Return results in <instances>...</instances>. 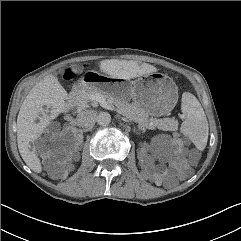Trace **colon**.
Masks as SVG:
<instances>
[{
	"label": "colon",
	"mask_w": 241,
	"mask_h": 241,
	"mask_svg": "<svg viewBox=\"0 0 241 241\" xmlns=\"http://www.w3.org/2000/svg\"><path fill=\"white\" fill-rule=\"evenodd\" d=\"M73 76V74L71 73V72H69V71H67L66 73H65V77L66 78H71Z\"/></svg>",
	"instance_id": "obj_1"
}]
</instances>
